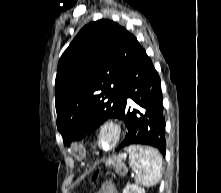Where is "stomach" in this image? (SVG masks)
<instances>
[{
  "instance_id": "1",
  "label": "stomach",
  "mask_w": 221,
  "mask_h": 193,
  "mask_svg": "<svg viewBox=\"0 0 221 193\" xmlns=\"http://www.w3.org/2000/svg\"><path fill=\"white\" fill-rule=\"evenodd\" d=\"M84 155H86V150H79V154L77 155V158L83 159Z\"/></svg>"
}]
</instances>
